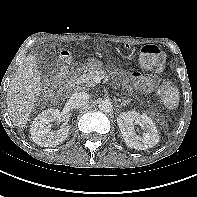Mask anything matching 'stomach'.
<instances>
[{"label":"stomach","instance_id":"0dacf381","mask_svg":"<svg viewBox=\"0 0 197 197\" xmlns=\"http://www.w3.org/2000/svg\"><path fill=\"white\" fill-rule=\"evenodd\" d=\"M87 66L92 69H98L101 68V62L96 59H90L87 63Z\"/></svg>","mask_w":197,"mask_h":197}]
</instances>
